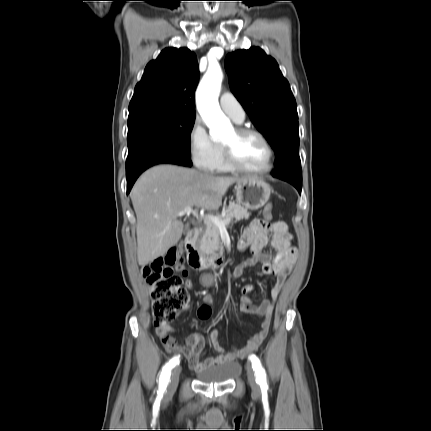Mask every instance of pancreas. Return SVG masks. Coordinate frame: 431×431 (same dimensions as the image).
Here are the masks:
<instances>
[{
  "label": "pancreas",
  "mask_w": 431,
  "mask_h": 431,
  "mask_svg": "<svg viewBox=\"0 0 431 431\" xmlns=\"http://www.w3.org/2000/svg\"><path fill=\"white\" fill-rule=\"evenodd\" d=\"M250 213L246 208L235 202H230L228 207L223 208L222 213L216 215L220 220L235 219L240 221L248 219ZM204 228L202 231V238L200 241L201 249L206 254H214L221 249L220 230L212 221L204 220Z\"/></svg>",
  "instance_id": "obj_1"
}]
</instances>
